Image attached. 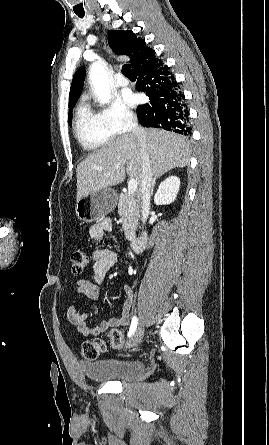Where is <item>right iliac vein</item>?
I'll return each instance as SVG.
<instances>
[{"label":"right iliac vein","mask_w":269,"mask_h":445,"mask_svg":"<svg viewBox=\"0 0 269 445\" xmlns=\"http://www.w3.org/2000/svg\"><path fill=\"white\" fill-rule=\"evenodd\" d=\"M143 335H144L143 326L142 324H139V326L131 336L130 340L128 341L127 346L129 348L137 346L141 342Z\"/></svg>","instance_id":"63e3f726"}]
</instances>
